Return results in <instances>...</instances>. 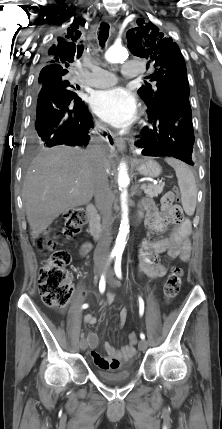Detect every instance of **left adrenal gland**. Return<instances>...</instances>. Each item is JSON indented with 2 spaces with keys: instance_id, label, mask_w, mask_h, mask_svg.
Here are the masks:
<instances>
[{
  "instance_id": "a2214340",
  "label": "left adrenal gland",
  "mask_w": 222,
  "mask_h": 429,
  "mask_svg": "<svg viewBox=\"0 0 222 429\" xmlns=\"http://www.w3.org/2000/svg\"><path fill=\"white\" fill-rule=\"evenodd\" d=\"M138 187H139V184H137V185L135 186L134 194L138 192Z\"/></svg>"
}]
</instances>
